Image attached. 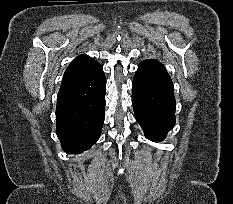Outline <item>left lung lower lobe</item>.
<instances>
[{
  "label": "left lung lower lobe",
  "instance_id": "1",
  "mask_svg": "<svg viewBox=\"0 0 233 204\" xmlns=\"http://www.w3.org/2000/svg\"><path fill=\"white\" fill-rule=\"evenodd\" d=\"M132 103L137 122L151 141H162L175 124V97L172 80L156 60L138 66L132 83Z\"/></svg>",
  "mask_w": 233,
  "mask_h": 204
}]
</instances>
